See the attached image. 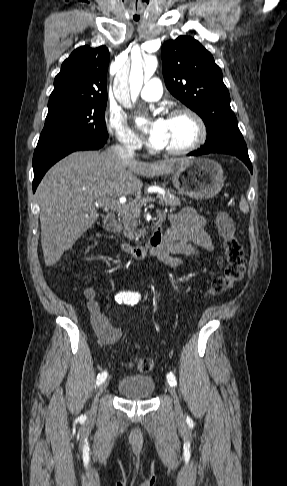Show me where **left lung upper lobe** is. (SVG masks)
Instances as JSON below:
<instances>
[{
    "instance_id": "obj_1",
    "label": "left lung upper lobe",
    "mask_w": 287,
    "mask_h": 486,
    "mask_svg": "<svg viewBox=\"0 0 287 486\" xmlns=\"http://www.w3.org/2000/svg\"><path fill=\"white\" fill-rule=\"evenodd\" d=\"M163 76L168 90L204 121L207 139L201 150L248 155L230 107L222 71L197 40L180 36L162 45Z\"/></svg>"
}]
</instances>
